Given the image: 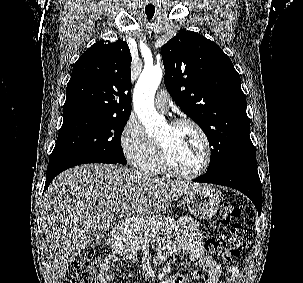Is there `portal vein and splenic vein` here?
<instances>
[{
	"label": "portal vein and splenic vein",
	"instance_id": "18ae733b",
	"mask_svg": "<svg viewBox=\"0 0 303 283\" xmlns=\"http://www.w3.org/2000/svg\"><path fill=\"white\" fill-rule=\"evenodd\" d=\"M127 210V208H124L121 212L124 213Z\"/></svg>",
	"mask_w": 303,
	"mask_h": 283
}]
</instances>
